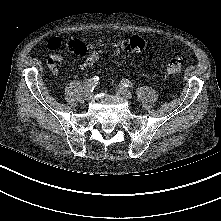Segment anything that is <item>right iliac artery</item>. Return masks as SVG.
Masks as SVG:
<instances>
[{
	"label": "right iliac artery",
	"mask_w": 221,
	"mask_h": 221,
	"mask_svg": "<svg viewBox=\"0 0 221 221\" xmlns=\"http://www.w3.org/2000/svg\"><path fill=\"white\" fill-rule=\"evenodd\" d=\"M98 82H99V77L94 76L85 82V88L89 91H92L96 87Z\"/></svg>",
	"instance_id": "1"
}]
</instances>
